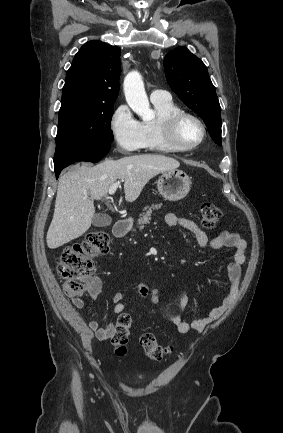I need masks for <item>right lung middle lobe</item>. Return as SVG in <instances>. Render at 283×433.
Listing matches in <instances>:
<instances>
[{"mask_svg":"<svg viewBox=\"0 0 283 433\" xmlns=\"http://www.w3.org/2000/svg\"><path fill=\"white\" fill-rule=\"evenodd\" d=\"M114 103L78 104L59 111L56 145L110 146Z\"/></svg>","mask_w":283,"mask_h":433,"instance_id":"dd1d6c3e","label":"right lung middle lobe"}]
</instances>
